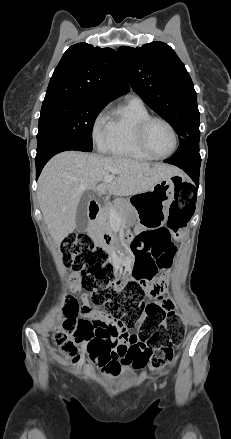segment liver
Instances as JSON below:
<instances>
[{"mask_svg":"<svg viewBox=\"0 0 231 439\" xmlns=\"http://www.w3.org/2000/svg\"><path fill=\"white\" fill-rule=\"evenodd\" d=\"M181 171L166 164H150L124 157H101L67 151L53 157L38 180L44 221L57 245L76 228L77 206L85 190L114 196L135 195ZM110 183L99 184L105 177Z\"/></svg>","mask_w":231,"mask_h":439,"instance_id":"obj_1","label":"liver"}]
</instances>
